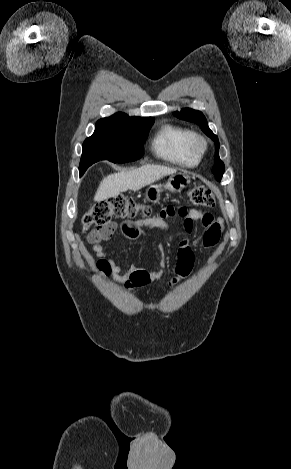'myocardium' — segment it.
Returning <instances> with one entry per match:
<instances>
[{
    "label": "myocardium",
    "mask_w": 291,
    "mask_h": 469,
    "mask_svg": "<svg viewBox=\"0 0 291 469\" xmlns=\"http://www.w3.org/2000/svg\"><path fill=\"white\" fill-rule=\"evenodd\" d=\"M208 149V143L204 137L201 135H195L191 142V150L192 152L201 158Z\"/></svg>",
    "instance_id": "myocardium-1"
}]
</instances>
